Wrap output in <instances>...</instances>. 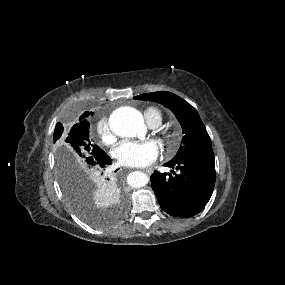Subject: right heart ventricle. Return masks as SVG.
I'll return each mask as SVG.
<instances>
[{"mask_svg": "<svg viewBox=\"0 0 285 285\" xmlns=\"http://www.w3.org/2000/svg\"><path fill=\"white\" fill-rule=\"evenodd\" d=\"M146 121L149 125L159 126L163 120V112L157 107H148L144 112Z\"/></svg>", "mask_w": 285, "mask_h": 285, "instance_id": "1", "label": "right heart ventricle"}]
</instances>
